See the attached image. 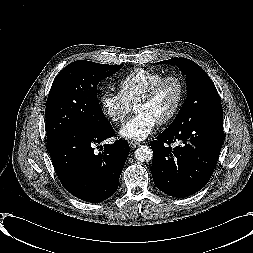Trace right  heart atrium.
Masks as SVG:
<instances>
[{"label":"right heart atrium","instance_id":"obj_1","mask_svg":"<svg viewBox=\"0 0 253 253\" xmlns=\"http://www.w3.org/2000/svg\"><path fill=\"white\" fill-rule=\"evenodd\" d=\"M99 103L105 117L112 123H122L131 111V105L120 93L105 92Z\"/></svg>","mask_w":253,"mask_h":253}]
</instances>
